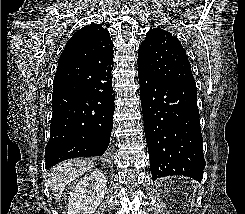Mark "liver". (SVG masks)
I'll return each instance as SVG.
<instances>
[{"label": "liver", "mask_w": 245, "mask_h": 214, "mask_svg": "<svg viewBox=\"0 0 245 214\" xmlns=\"http://www.w3.org/2000/svg\"><path fill=\"white\" fill-rule=\"evenodd\" d=\"M93 164L94 161L90 159H74L52 168L47 174V185L55 201H60L64 188L70 181L86 173Z\"/></svg>", "instance_id": "obj_1"}]
</instances>
